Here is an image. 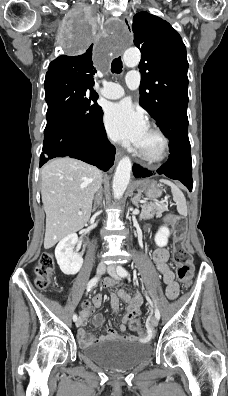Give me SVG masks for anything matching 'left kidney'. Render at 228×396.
Instances as JSON below:
<instances>
[{"label": "left kidney", "instance_id": "1", "mask_svg": "<svg viewBox=\"0 0 228 396\" xmlns=\"http://www.w3.org/2000/svg\"><path fill=\"white\" fill-rule=\"evenodd\" d=\"M169 235V229L166 226H161L155 235V243L160 247L166 246Z\"/></svg>", "mask_w": 228, "mask_h": 396}]
</instances>
